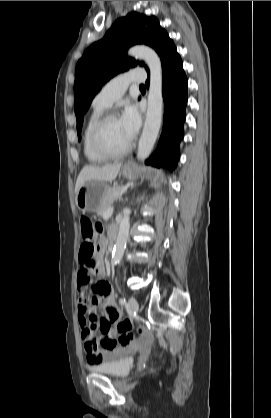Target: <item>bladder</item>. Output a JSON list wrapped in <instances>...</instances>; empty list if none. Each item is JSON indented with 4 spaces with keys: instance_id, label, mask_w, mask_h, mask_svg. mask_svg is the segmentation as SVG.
<instances>
[{
    "instance_id": "obj_1",
    "label": "bladder",
    "mask_w": 271,
    "mask_h": 418,
    "mask_svg": "<svg viewBox=\"0 0 271 418\" xmlns=\"http://www.w3.org/2000/svg\"><path fill=\"white\" fill-rule=\"evenodd\" d=\"M132 363L131 352L127 351L91 367V370L112 378H122L129 372Z\"/></svg>"
}]
</instances>
